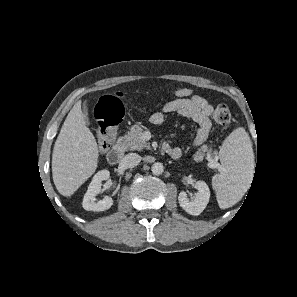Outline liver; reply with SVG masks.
<instances>
[{"mask_svg": "<svg viewBox=\"0 0 297 297\" xmlns=\"http://www.w3.org/2000/svg\"><path fill=\"white\" fill-rule=\"evenodd\" d=\"M98 146L87 128L78 101L70 110L55 141L52 154V176L58 192L71 196L95 172Z\"/></svg>", "mask_w": 297, "mask_h": 297, "instance_id": "1", "label": "liver"}]
</instances>
